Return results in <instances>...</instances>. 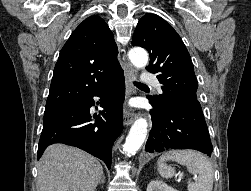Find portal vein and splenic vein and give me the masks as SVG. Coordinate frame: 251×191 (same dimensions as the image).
<instances>
[{
    "mask_svg": "<svg viewBox=\"0 0 251 191\" xmlns=\"http://www.w3.org/2000/svg\"><path fill=\"white\" fill-rule=\"evenodd\" d=\"M177 181H181V179H177Z\"/></svg>",
    "mask_w": 251,
    "mask_h": 191,
    "instance_id": "portal-vein-and-splenic-vein-1",
    "label": "portal vein and splenic vein"
}]
</instances>
